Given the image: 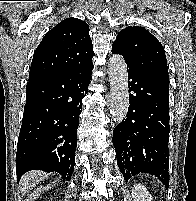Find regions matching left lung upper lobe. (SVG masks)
I'll return each instance as SVG.
<instances>
[{
  "label": "left lung upper lobe",
  "mask_w": 196,
  "mask_h": 201,
  "mask_svg": "<svg viewBox=\"0 0 196 201\" xmlns=\"http://www.w3.org/2000/svg\"><path fill=\"white\" fill-rule=\"evenodd\" d=\"M112 51L124 57L127 65L169 84L166 56L162 44L143 27L128 26L119 32Z\"/></svg>",
  "instance_id": "5c2ea615"
}]
</instances>
